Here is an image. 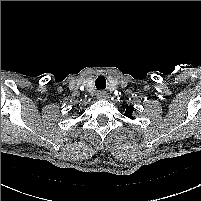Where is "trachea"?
<instances>
[{
    "label": "trachea",
    "instance_id": "3493384b",
    "mask_svg": "<svg viewBox=\"0 0 201 201\" xmlns=\"http://www.w3.org/2000/svg\"><path fill=\"white\" fill-rule=\"evenodd\" d=\"M95 86L97 90L105 89L106 88V79L104 76L100 75L95 81Z\"/></svg>",
    "mask_w": 201,
    "mask_h": 201
}]
</instances>
